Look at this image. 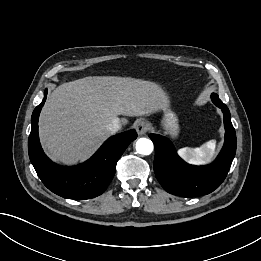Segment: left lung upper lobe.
<instances>
[{
  "instance_id": "left-lung-upper-lobe-1",
  "label": "left lung upper lobe",
  "mask_w": 261,
  "mask_h": 261,
  "mask_svg": "<svg viewBox=\"0 0 261 261\" xmlns=\"http://www.w3.org/2000/svg\"><path fill=\"white\" fill-rule=\"evenodd\" d=\"M211 98L214 103H222V101L219 99L218 95L215 93H212Z\"/></svg>"
}]
</instances>
